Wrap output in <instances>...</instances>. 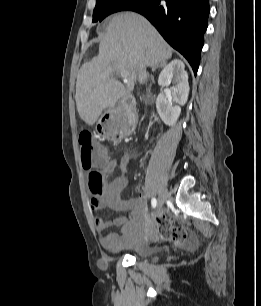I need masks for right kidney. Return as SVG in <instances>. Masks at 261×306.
Instances as JSON below:
<instances>
[{
	"label": "right kidney",
	"mask_w": 261,
	"mask_h": 306,
	"mask_svg": "<svg viewBox=\"0 0 261 306\" xmlns=\"http://www.w3.org/2000/svg\"><path fill=\"white\" fill-rule=\"evenodd\" d=\"M158 84L163 88L156 100L158 114L166 125L173 126L180 116V105L187 102L190 91L184 63L173 60L166 65L159 75ZM172 99L176 106H172Z\"/></svg>",
	"instance_id": "right-kidney-1"
}]
</instances>
